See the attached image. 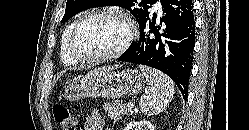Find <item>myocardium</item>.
<instances>
[{
	"label": "myocardium",
	"mask_w": 249,
	"mask_h": 130,
	"mask_svg": "<svg viewBox=\"0 0 249 130\" xmlns=\"http://www.w3.org/2000/svg\"><path fill=\"white\" fill-rule=\"evenodd\" d=\"M94 16H109V17H117L125 21V23L128 26V35L126 39L123 41V43L113 52L104 54V55H97V56H85L79 54L75 50V38L78 33V30L82 23ZM137 37V27L133 19L125 12L115 9H96L89 12H86L81 17H79L70 32L68 42H67V51L69 56L74 59L76 62H82V63H99V62H105L110 61L116 58H119L121 55H123L127 49L130 47L132 42Z\"/></svg>",
	"instance_id": "obj_1"
}]
</instances>
